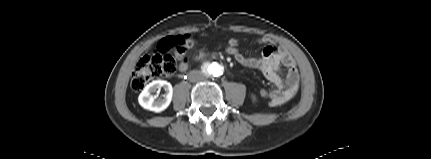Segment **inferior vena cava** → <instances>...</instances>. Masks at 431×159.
<instances>
[{"label":"inferior vena cava","mask_w":431,"mask_h":159,"mask_svg":"<svg viewBox=\"0 0 431 159\" xmlns=\"http://www.w3.org/2000/svg\"><path fill=\"white\" fill-rule=\"evenodd\" d=\"M189 79H190L191 82H198V81H201L203 79V77L198 72L192 71L190 73Z\"/></svg>","instance_id":"obj_1"}]
</instances>
